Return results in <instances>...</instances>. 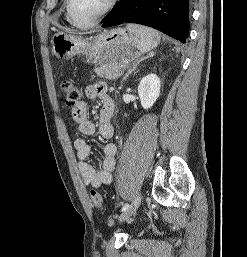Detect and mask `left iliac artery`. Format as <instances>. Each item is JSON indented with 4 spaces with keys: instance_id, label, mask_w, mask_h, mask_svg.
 Here are the masks:
<instances>
[{
    "instance_id": "left-iliac-artery-1",
    "label": "left iliac artery",
    "mask_w": 247,
    "mask_h": 257,
    "mask_svg": "<svg viewBox=\"0 0 247 257\" xmlns=\"http://www.w3.org/2000/svg\"><path fill=\"white\" fill-rule=\"evenodd\" d=\"M128 207H129V204H125L123 207H122V211H126L127 209H128Z\"/></svg>"
}]
</instances>
